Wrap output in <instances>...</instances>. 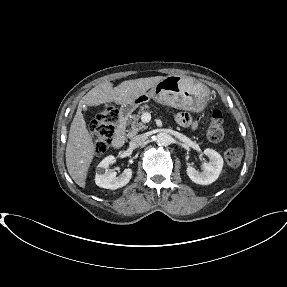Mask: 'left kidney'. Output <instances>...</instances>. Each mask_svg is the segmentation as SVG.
I'll use <instances>...</instances> for the list:
<instances>
[{
  "label": "left kidney",
  "mask_w": 287,
  "mask_h": 287,
  "mask_svg": "<svg viewBox=\"0 0 287 287\" xmlns=\"http://www.w3.org/2000/svg\"><path fill=\"white\" fill-rule=\"evenodd\" d=\"M204 154L208 156L209 162L203 164L202 172L197 171L191 165H188L186 169L188 177L200 185H208L216 181L223 168V158L218 152L207 148Z\"/></svg>",
  "instance_id": "left-kidney-1"
}]
</instances>
